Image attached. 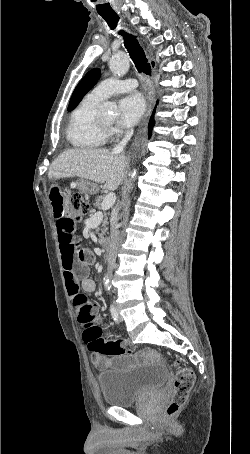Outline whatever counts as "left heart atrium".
<instances>
[{"label":"left heart atrium","instance_id":"39dd6f15","mask_svg":"<svg viewBox=\"0 0 250 454\" xmlns=\"http://www.w3.org/2000/svg\"><path fill=\"white\" fill-rule=\"evenodd\" d=\"M146 109V102L142 94L134 92L123 97L119 102V123L130 127L138 122Z\"/></svg>","mask_w":250,"mask_h":454}]
</instances>
